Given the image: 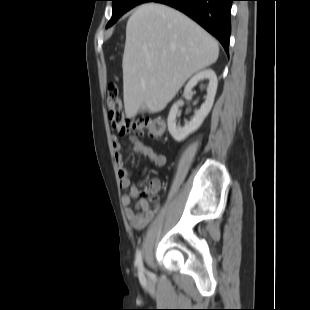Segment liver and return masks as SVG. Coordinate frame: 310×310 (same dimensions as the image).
<instances>
[{
    "mask_svg": "<svg viewBox=\"0 0 310 310\" xmlns=\"http://www.w3.org/2000/svg\"><path fill=\"white\" fill-rule=\"evenodd\" d=\"M217 41L181 12L139 6L126 26L122 61L125 113L162 111L194 73L218 59Z\"/></svg>",
    "mask_w": 310,
    "mask_h": 310,
    "instance_id": "liver-1",
    "label": "liver"
}]
</instances>
